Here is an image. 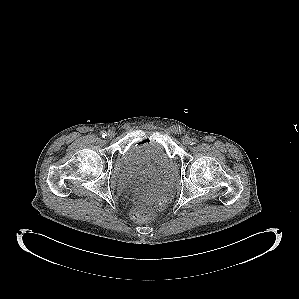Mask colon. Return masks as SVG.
<instances>
[{
  "label": "colon",
  "mask_w": 299,
  "mask_h": 299,
  "mask_svg": "<svg viewBox=\"0 0 299 299\" xmlns=\"http://www.w3.org/2000/svg\"><path fill=\"white\" fill-rule=\"evenodd\" d=\"M144 185V181L141 178H134L129 188L133 192H138ZM162 206H160L161 208ZM151 215V210L145 204L139 203L138 208L132 211V216L136 219H146Z\"/></svg>",
  "instance_id": "colon-1"
}]
</instances>
